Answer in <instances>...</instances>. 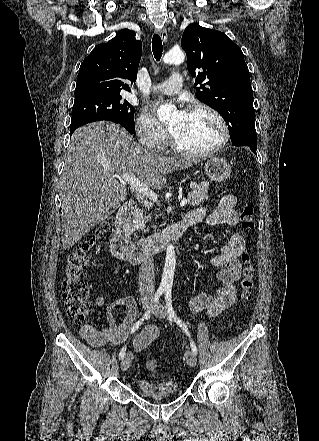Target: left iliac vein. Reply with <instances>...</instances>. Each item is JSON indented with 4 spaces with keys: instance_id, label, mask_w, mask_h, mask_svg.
I'll list each match as a JSON object with an SVG mask.
<instances>
[{
    "instance_id": "1",
    "label": "left iliac vein",
    "mask_w": 319,
    "mask_h": 441,
    "mask_svg": "<svg viewBox=\"0 0 319 441\" xmlns=\"http://www.w3.org/2000/svg\"><path fill=\"white\" fill-rule=\"evenodd\" d=\"M152 313L154 316H156L159 319H165L167 316L166 309L159 302H157L155 304V306L153 307ZM185 356H186V361H187L188 365L191 367H195L197 364V359H196V356L193 354V352L188 350V351H186Z\"/></svg>"
}]
</instances>
